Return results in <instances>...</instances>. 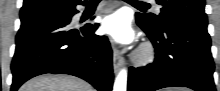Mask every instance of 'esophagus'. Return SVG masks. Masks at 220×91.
Wrapping results in <instances>:
<instances>
[{
	"label": "esophagus",
	"instance_id": "obj_1",
	"mask_svg": "<svg viewBox=\"0 0 220 91\" xmlns=\"http://www.w3.org/2000/svg\"><path fill=\"white\" fill-rule=\"evenodd\" d=\"M124 63L123 56L120 54L119 50L117 48H114L113 50V69L114 72L117 73L121 66Z\"/></svg>",
	"mask_w": 220,
	"mask_h": 91
}]
</instances>
